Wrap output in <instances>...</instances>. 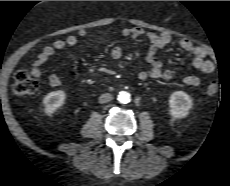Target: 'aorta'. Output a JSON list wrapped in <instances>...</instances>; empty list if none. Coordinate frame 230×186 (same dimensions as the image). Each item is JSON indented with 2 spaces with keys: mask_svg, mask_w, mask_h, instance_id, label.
<instances>
[{
  "mask_svg": "<svg viewBox=\"0 0 230 186\" xmlns=\"http://www.w3.org/2000/svg\"><path fill=\"white\" fill-rule=\"evenodd\" d=\"M117 99L120 103L127 104L131 101V96L130 93L126 91H121L119 92Z\"/></svg>",
  "mask_w": 230,
  "mask_h": 186,
  "instance_id": "obj_1",
  "label": "aorta"
}]
</instances>
